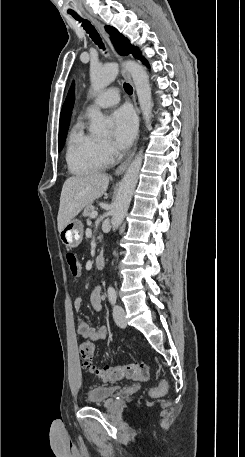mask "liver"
I'll return each mask as SVG.
<instances>
[{"label":"liver","mask_w":245,"mask_h":457,"mask_svg":"<svg viewBox=\"0 0 245 457\" xmlns=\"http://www.w3.org/2000/svg\"><path fill=\"white\" fill-rule=\"evenodd\" d=\"M109 176L105 172H90L69 176L62 186L60 206L57 216L58 231L61 233L65 224L70 222L85 204L93 202L107 190Z\"/></svg>","instance_id":"6515ba94"}]
</instances>
